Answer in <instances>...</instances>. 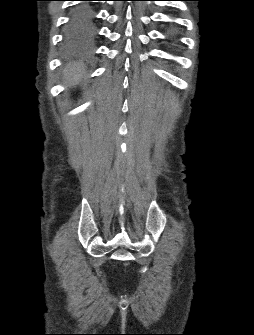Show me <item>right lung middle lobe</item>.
<instances>
[{
    "label": "right lung middle lobe",
    "mask_w": 254,
    "mask_h": 335,
    "mask_svg": "<svg viewBox=\"0 0 254 335\" xmlns=\"http://www.w3.org/2000/svg\"><path fill=\"white\" fill-rule=\"evenodd\" d=\"M81 4H84L85 6L91 7L89 3H81ZM81 4H79V5H81ZM76 10L77 9L75 8L73 11L75 12ZM93 32H94V25L87 27V26H85L83 21H81L77 24H70V22H69L68 27H67V37L68 38H78V37H83V36H89Z\"/></svg>",
    "instance_id": "1"
}]
</instances>
